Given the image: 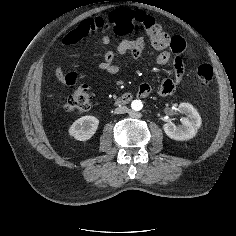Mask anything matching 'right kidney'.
<instances>
[{
  "label": "right kidney",
  "mask_w": 236,
  "mask_h": 236,
  "mask_svg": "<svg viewBox=\"0 0 236 236\" xmlns=\"http://www.w3.org/2000/svg\"><path fill=\"white\" fill-rule=\"evenodd\" d=\"M99 120L94 116H83L77 119L69 128V135L76 140H89L96 132Z\"/></svg>",
  "instance_id": "1"
}]
</instances>
